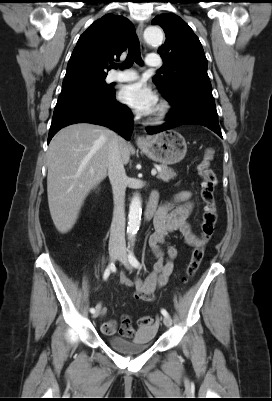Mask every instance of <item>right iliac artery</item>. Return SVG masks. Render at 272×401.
Masks as SVG:
<instances>
[{"mask_svg": "<svg viewBox=\"0 0 272 401\" xmlns=\"http://www.w3.org/2000/svg\"><path fill=\"white\" fill-rule=\"evenodd\" d=\"M112 269H113V265L111 264V265L105 270V272H104V274H103V279H104V280H106V279L109 277V275H110ZM90 312H91V313H94V312H95V309H94V308H91V309H90Z\"/></svg>", "mask_w": 272, "mask_h": 401, "instance_id": "82829eb1", "label": "right iliac artery"}]
</instances>
